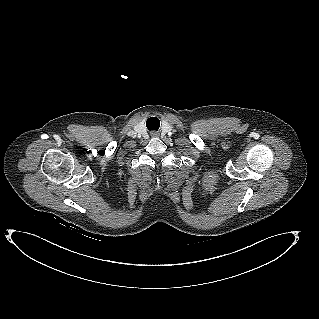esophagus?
Segmentation results:
<instances>
[{"label": "esophagus", "mask_w": 319, "mask_h": 319, "mask_svg": "<svg viewBox=\"0 0 319 319\" xmlns=\"http://www.w3.org/2000/svg\"><path fill=\"white\" fill-rule=\"evenodd\" d=\"M151 135H152L153 137H157V136H158V134H157L156 132H153Z\"/></svg>", "instance_id": "obj_1"}]
</instances>
